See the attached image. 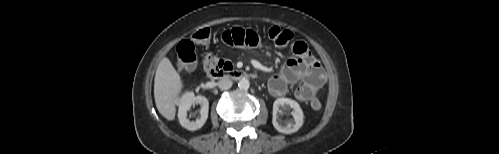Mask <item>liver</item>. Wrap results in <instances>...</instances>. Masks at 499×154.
Wrapping results in <instances>:
<instances>
[{
  "mask_svg": "<svg viewBox=\"0 0 499 154\" xmlns=\"http://www.w3.org/2000/svg\"><path fill=\"white\" fill-rule=\"evenodd\" d=\"M183 89V81L168 58L158 65L154 80V98L159 113L169 121L176 115L178 96Z\"/></svg>",
  "mask_w": 499,
  "mask_h": 154,
  "instance_id": "liver-1",
  "label": "liver"
}]
</instances>
